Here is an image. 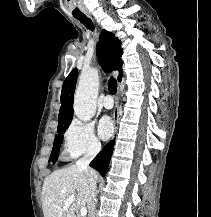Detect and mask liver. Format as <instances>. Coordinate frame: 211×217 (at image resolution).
Masks as SVG:
<instances>
[{
	"mask_svg": "<svg viewBox=\"0 0 211 217\" xmlns=\"http://www.w3.org/2000/svg\"><path fill=\"white\" fill-rule=\"evenodd\" d=\"M94 177L97 179L95 171ZM75 196V201L68 209L63 206L68 197ZM91 199L86 173L77 165L56 170L47 176L42 187V210L44 217H76L80 207L90 209Z\"/></svg>",
	"mask_w": 211,
	"mask_h": 217,
	"instance_id": "1",
	"label": "liver"
}]
</instances>
